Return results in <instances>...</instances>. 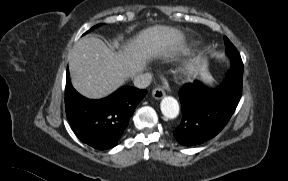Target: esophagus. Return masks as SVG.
<instances>
[{
  "instance_id": "1",
  "label": "esophagus",
  "mask_w": 288,
  "mask_h": 181,
  "mask_svg": "<svg viewBox=\"0 0 288 181\" xmlns=\"http://www.w3.org/2000/svg\"><path fill=\"white\" fill-rule=\"evenodd\" d=\"M165 95L164 90L161 87H156L153 91H152V96L159 100L161 98H163Z\"/></svg>"
}]
</instances>
